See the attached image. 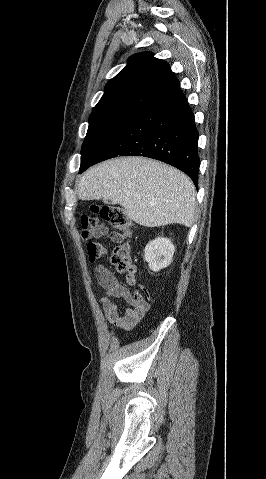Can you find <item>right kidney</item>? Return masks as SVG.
<instances>
[{"label":"right kidney","instance_id":"obj_1","mask_svg":"<svg viewBox=\"0 0 266 479\" xmlns=\"http://www.w3.org/2000/svg\"><path fill=\"white\" fill-rule=\"evenodd\" d=\"M174 251L175 247L170 239L156 238L146 245L144 259L152 271L158 272L170 265Z\"/></svg>","mask_w":266,"mask_h":479}]
</instances>
